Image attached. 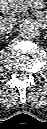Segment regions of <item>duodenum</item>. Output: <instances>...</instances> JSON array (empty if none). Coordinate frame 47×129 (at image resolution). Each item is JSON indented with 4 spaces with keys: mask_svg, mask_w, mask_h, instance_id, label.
I'll return each instance as SVG.
<instances>
[{
    "mask_svg": "<svg viewBox=\"0 0 47 129\" xmlns=\"http://www.w3.org/2000/svg\"><path fill=\"white\" fill-rule=\"evenodd\" d=\"M14 8H15V5L11 0H3L1 3V11L6 15L11 14Z\"/></svg>",
    "mask_w": 47,
    "mask_h": 129,
    "instance_id": "duodenum-1",
    "label": "duodenum"
}]
</instances>
